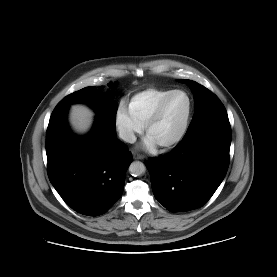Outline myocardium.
I'll return each mask as SVG.
<instances>
[{
    "instance_id": "f54148a6",
    "label": "myocardium",
    "mask_w": 277,
    "mask_h": 277,
    "mask_svg": "<svg viewBox=\"0 0 277 277\" xmlns=\"http://www.w3.org/2000/svg\"><path fill=\"white\" fill-rule=\"evenodd\" d=\"M178 93H182L184 95H186L187 99H188V112H187V116L185 119V122L183 124L182 129L180 130V132L171 140H169L168 142L162 143L159 145L160 148L162 149H169L174 147L175 145H177L178 143H180L183 138L185 137V135L187 134L189 127H190V123H191V119H192V114H193V108H194V104H193V99L191 97V95L183 89H174L173 91H171L170 93H168L156 106V108L154 109L153 113L150 115V117L148 118V120L146 121L144 127H145V132L148 134L150 128L158 121V119L160 118L166 104L168 103V101L175 95Z\"/></svg>"
}]
</instances>
